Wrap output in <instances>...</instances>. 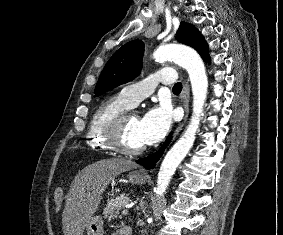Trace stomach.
Returning a JSON list of instances; mask_svg holds the SVG:
<instances>
[{"label": "stomach", "instance_id": "1", "mask_svg": "<svg viewBox=\"0 0 283 235\" xmlns=\"http://www.w3.org/2000/svg\"><path fill=\"white\" fill-rule=\"evenodd\" d=\"M128 179L134 184H144L147 177L138 171L128 174ZM86 235H103V220L100 216H92L85 227Z\"/></svg>", "mask_w": 283, "mask_h": 235}]
</instances>
